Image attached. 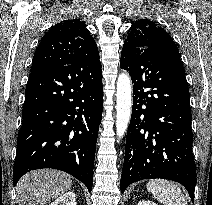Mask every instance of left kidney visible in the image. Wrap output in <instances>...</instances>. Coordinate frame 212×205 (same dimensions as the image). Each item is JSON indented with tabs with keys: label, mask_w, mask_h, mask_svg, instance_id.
<instances>
[{
	"label": "left kidney",
	"mask_w": 212,
	"mask_h": 205,
	"mask_svg": "<svg viewBox=\"0 0 212 205\" xmlns=\"http://www.w3.org/2000/svg\"><path fill=\"white\" fill-rule=\"evenodd\" d=\"M138 205H157L155 202H152L150 200H142L138 203Z\"/></svg>",
	"instance_id": "left-kidney-1"
}]
</instances>
